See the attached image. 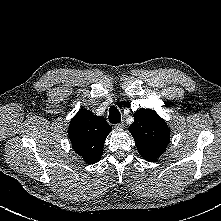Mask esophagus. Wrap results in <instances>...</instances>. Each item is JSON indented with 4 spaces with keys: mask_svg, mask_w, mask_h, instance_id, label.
I'll use <instances>...</instances> for the list:
<instances>
[{
    "mask_svg": "<svg viewBox=\"0 0 221 221\" xmlns=\"http://www.w3.org/2000/svg\"><path fill=\"white\" fill-rule=\"evenodd\" d=\"M114 127L118 128V129H121V128L125 127V124H124V122H120V123L115 124Z\"/></svg>",
    "mask_w": 221,
    "mask_h": 221,
    "instance_id": "34e87169",
    "label": "esophagus"
}]
</instances>
